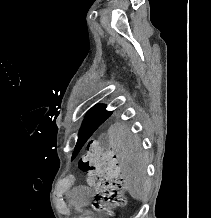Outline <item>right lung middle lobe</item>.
<instances>
[{
    "label": "right lung middle lobe",
    "mask_w": 211,
    "mask_h": 218,
    "mask_svg": "<svg viewBox=\"0 0 211 218\" xmlns=\"http://www.w3.org/2000/svg\"><path fill=\"white\" fill-rule=\"evenodd\" d=\"M104 105L94 107L86 116L79 137L91 136L93 132L111 115Z\"/></svg>",
    "instance_id": "1"
}]
</instances>
